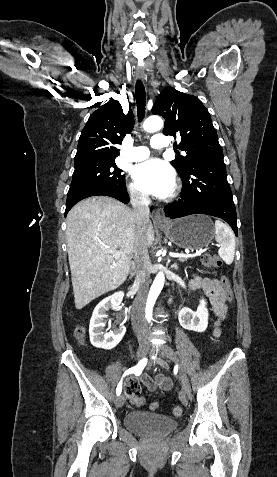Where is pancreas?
<instances>
[{
  "label": "pancreas",
  "instance_id": "obj_1",
  "mask_svg": "<svg viewBox=\"0 0 277 477\" xmlns=\"http://www.w3.org/2000/svg\"><path fill=\"white\" fill-rule=\"evenodd\" d=\"M187 260H188V257H180V258H179V261H180V262H185V261H187Z\"/></svg>",
  "mask_w": 277,
  "mask_h": 477
}]
</instances>
